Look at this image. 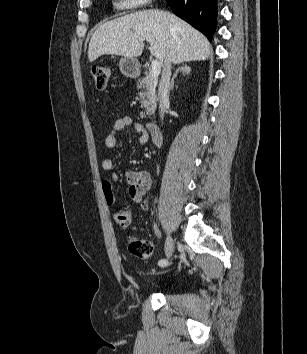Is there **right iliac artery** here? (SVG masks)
Returning <instances> with one entry per match:
<instances>
[{
  "instance_id": "82829eb1",
  "label": "right iliac artery",
  "mask_w": 307,
  "mask_h": 354,
  "mask_svg": "<svg viewBox=\"0 0 307 354\" xmlns=\"http://www.w3.org/2000/svg\"><path fill=\"white\" fill-rule=\"evenodd\" d=\"M167 264H168V262H167V260H165V259H161V260H159V262H158V265L161 266V267H164V266H166Z\"/></svg>"
}]
</instances>
